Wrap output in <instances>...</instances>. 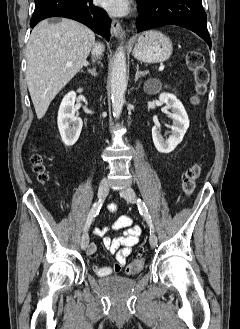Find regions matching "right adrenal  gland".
Here are the masks:
<instances>
[{"label": "right adrenal gland", "mask_w": 240, "mask_h": 329, "mask_svg": "<svg viewBox=\"0 0 240 329\" xmlns=\"http://www.w3.org/2000/svg\"><path fill=\"white\" fill-rule=\"evenodd\" d=\"M88 73H90L92 76H97L95 69H88Z\"/></svg>", "instance_id": "right-adrenal-gland-1"}]
</instances>
